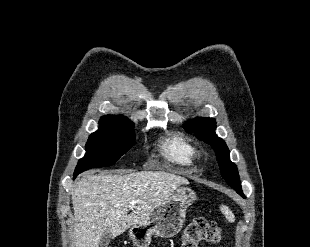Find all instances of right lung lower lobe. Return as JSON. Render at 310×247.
Here are the masks:
<instances>
[{"mask_svg":"<svg viewBox=\"0 0 310 247\" xmlns=\"http://www.w3.org/2000/svg\"><path fill=\"white\" fill-rule=\"evenodd\" d=\"M80 172H74V178L79 174Z\"/></svg>","mask_w":310,"mask_h":247,"instance_id":"1","label":"right lung lower lobe"}]
</instances>
